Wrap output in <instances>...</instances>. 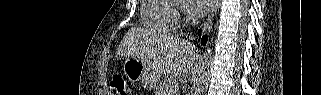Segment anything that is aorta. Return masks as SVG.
Wrapping results in <instances>:
<instances>
[{
  "label": "aorta",
  "instance_id": "1",
  "mask_svg": "<svg viewBox=\"0 0 321 95\" xmlns=\"http://www.w3.org/2000/svg\"><path fill=\"white\" fill-rule=\"evenodd\" d=\"M212 60L211 49H208L200 58L190 92L191 95H205L210 80Z\"/></svg>",
  "mask_w": 321,
  "mask_h": 95
}]
</instances>
